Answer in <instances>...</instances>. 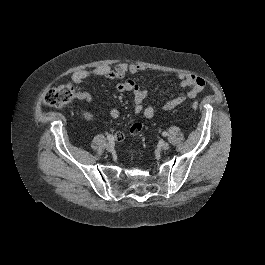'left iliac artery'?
I'll return each mask as SVG.
<instances>
[{
	"mask_svg": "<svg viewBox=\"0 0 265 265\" xmlns=\"http://www.w3.org/2000/svg\"><path fill=\"white\" fill-rule=\"evenodd\" d=\"M162 135L166 137L168 134H167V132H163Z\"/></svg>",
	"mask_w": 265,
	"mask_h": 265,
	"instance_id": "obj_1",
	"label": "left iliac artery"
}]
</instances>
